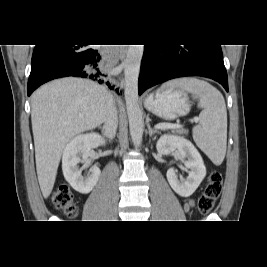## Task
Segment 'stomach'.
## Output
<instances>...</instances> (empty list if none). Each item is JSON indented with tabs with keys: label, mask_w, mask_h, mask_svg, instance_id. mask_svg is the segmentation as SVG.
I'll return each mask as SVG.
<instances>
[{
	"label": "stomach",
	"mask_w": 267,
	"mask_h": 267,
	"mask_svg": "<svg viewBox=\"0 0 267 267\" xmlns=\"http://www.w3.org/2000/svg\"><path fill=\"white\" fill-rule=\"evenodd\" d=\"M145 108L164 120H174L190 111L187 94L182 90L167 88L150 94L144 101Z\"/></svg>",
	"instance_id": "obj_1"
}]
</instances>
